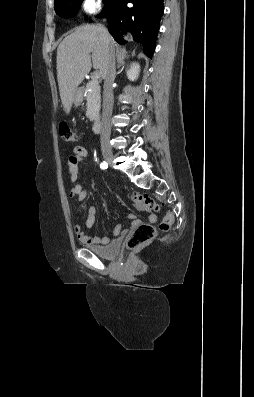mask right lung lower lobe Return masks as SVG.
Here are the masks:
<instances>
[{
  "label": "right lung lower lobe",
  "mask_w": 254,
  "mask_h": 397,
  "mask_svg": "<svg viewBox=\"0 0 254 397\" xmlns=\"http://www.w3.org/2000/svg\"><path fill=\"white\" fill-rule=\"evenodd\" d=\"M129 2L133 3L132 8L127 7ZM162 14L163 0H113L98 17L108 19V30L118 43L124 44L123 36L130 32L151 58Z\"/></svg>",
  "instance_id": "right-lung-lower-lobe-1"
}]
</instances>
